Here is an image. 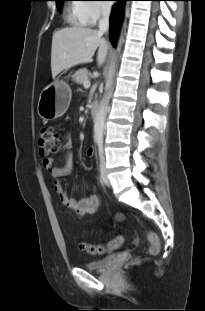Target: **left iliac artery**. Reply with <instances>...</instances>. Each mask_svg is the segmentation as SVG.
Listing matches in <instances>:
<instances>
[{
  "mask_svg": "<svg viewBox=\"0 0 205 311\" xmlns=\"http://www.w3.org/2000/svg\"><path fill=\"white\" fill-rule=\"evenodd\" d=\"M98 151L99 155L101 156L103 154V142L101 141L98 142Z\"/></svg>",
  "mask_w": 205,
  "mask_h": 311,
  "instance_id": "left-iliac-artery-1",
  "label": "left iliac artery"
}]
</instances>
